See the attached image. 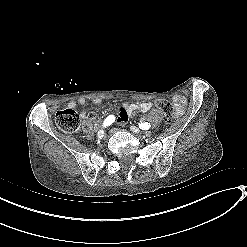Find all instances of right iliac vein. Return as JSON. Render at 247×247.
Returning a JSON list of instances; mask_svg holds the SVG:
<instances>
[{
	"label": "right iliac vein",
	"mask_w": 247,
	"mask_h": 247,
	"mask_svg": "<svg viewBox=\"0 0 247 247\" xmlns=\"http://www.w3.org/2000/svg\"><path fill=\"white\" fill-rule=\"evenodd\" d=\"M104 134H105L104 130H99L97 133V137L101 139L104 137Z\"/></svg>",
	"instance_id": "1"
}]
</instances>
